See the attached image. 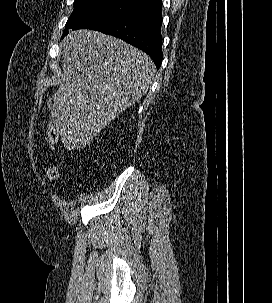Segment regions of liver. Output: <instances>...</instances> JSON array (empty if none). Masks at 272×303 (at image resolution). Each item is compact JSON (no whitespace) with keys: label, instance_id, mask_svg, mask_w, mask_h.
<instances>
[{"label":"liver","instance_id":"1","mask_svg":"<svg viewBox=\"0 0 272 303\" xmlns=\"http://www.w3.org/2000/svg\"><path fill=\"white\" fill-rule=\"evenodd\" d=\"M64 76L48 102L55 132L67 149L86 146L150 89L151 58L101 32L72 31L62 41Z\"/></svg>","mask_w":272,"mask_h":303}]
</instances>
